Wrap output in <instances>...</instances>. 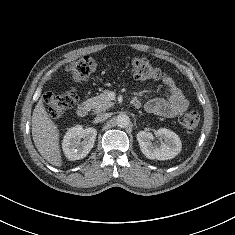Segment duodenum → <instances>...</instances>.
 Instances as JSON below:
<instances>
[{"instance_id": "obj_1", "label": "duodenum", "mask_w": 235, "mask_h": 235, "mask_svg": "<svg viewBox=\"0 0 235 235\" xmlns=\"http://www.w3.org/2000/svg\"><path fill=\"white\" fill-rule=\"evenodd\" d=\"M133 104L136 107L140 106L139 102L136 99L133 100ZM89 111H90V105L87 102H84L78 106L77 115L79 117H85L89 113Z\"/></svg>"}]
</instances>
